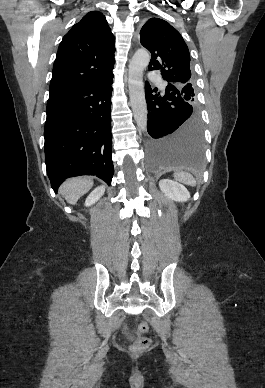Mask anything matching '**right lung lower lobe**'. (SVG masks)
<instances>
[{"mask_svg":"<svg viewBox=\"0 0 265 388\" xmlns=\"http://www.w3.org/2000/svg\"><path fill=\"white\" fill-rule=\"evenodd\" d=\"M112 83L113 75L49 97L44 147L47 174L55 192L72 176L96 175L111 184Z\"/></svg>","mask_w":265,"mask_h":388,"instance_id":"98d812e1","label":"right lung lower lobe"}]
</instances>
